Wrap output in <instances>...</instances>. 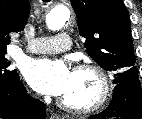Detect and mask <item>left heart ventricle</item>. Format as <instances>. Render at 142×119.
<instances>
[{"mask_svg": "<svg viewBox=\"0 0 142 119\" xmlns=\"http://www.w3.org/2000/svg\"><path fill=\"white\" fill-rule=\"evenodd\" d=\"M98 93V81L89 72H73L68 91L62 99L69 103L85 106L91 104Z\"/></svg>", "mask_w": 142, "mask_h": 119, "instance_id": "1", "label": "left heart ventricle"}]
</instances>
